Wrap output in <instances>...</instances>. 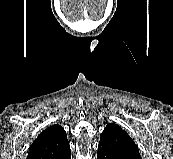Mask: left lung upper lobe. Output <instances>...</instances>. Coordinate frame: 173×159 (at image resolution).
<instances>
[{"label":"left lung upper lobe","mask_w":173,"mask_h":159,"mask_svg":"<svg viewBox=\"0 0 173 159\" xmlns=\"http://www.w3.org/2000/svg\"><path fill=\"white\" fill-rule=\"evenodd\" d=\"M99 145L130 159H141L138 146L120 126L108 124L100 136Z\"/></svg>","instance_id":"5c2ea615"}]
</instances>
